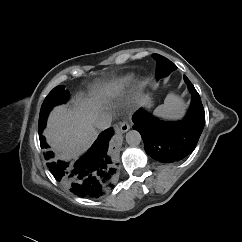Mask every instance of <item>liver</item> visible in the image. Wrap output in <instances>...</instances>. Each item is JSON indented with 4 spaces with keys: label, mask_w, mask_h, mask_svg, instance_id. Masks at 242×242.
I'll return each instance as SVG.
<instances>
[{
    "label": "liver",
    "mask_w": 242,
    "mask_h": 242,
    "mask_svg": "<svg viewBox=\"0 0 242 242\" xmlns=\"http://www.w3.org/2000/svg\"><path fill=\"white\" fill-rule=\"evenodd\" d=\"M146 98L138 99L140 105ZM104 111L97 99L83 101L77 97L73 106H59L50 113L44 136L61 158L77 157L86 151L96 138L94 121Z\"/></svg>",
    "instance_id": "1"
}]
</instances>
